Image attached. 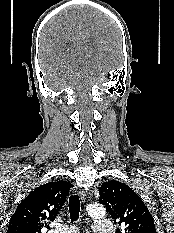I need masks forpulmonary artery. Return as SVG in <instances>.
<instances>
[{
  "label": "pulmonary artery",
  "instance_id": "1",
  "mask_svg": "<svg viewBox=\"0 0 174 233\" xmlns=\"http://www.w3.org/2000/svg\"><path fill=\"white\" fill-rule=\"evenodd\" d=\"M93 229L95 233H112L113 225L108 220H96L94 222ZM49 233H77V230L73 226L58 225Z\"/></svg>",
  "mask_w": 174,
  "mask_h": 233
}]
</instances>
